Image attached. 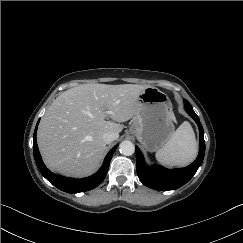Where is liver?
Instances as JSON below:
<instances>
[{
    "label": "liver",
    "mask_w": 243,
    "mask_h": 243,
    "mask_svg": "<svg viewBox=\"0 0 243 243\" xmlns=\"http://www.w3.org/2000/svg\"><path fill=\"white\" fill-rule=\"evenodd\" d=\"M136 84H83L60 94L42 117L37 142L46 166L71 177L94 173L106 150L103 134L116 139L122 122L134 117L139 94ZM111 119V120H109Z\"/></svg>",
    "instance_id": "6515ba94"
}]
</instances>
